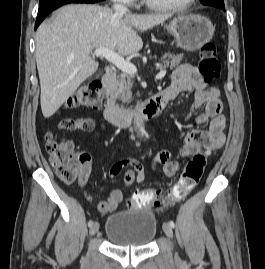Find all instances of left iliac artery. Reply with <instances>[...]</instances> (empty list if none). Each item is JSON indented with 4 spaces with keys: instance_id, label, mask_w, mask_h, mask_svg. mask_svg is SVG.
<instances>
[{
    "instance_id": "obj_1",
    "label": "left iliac artery",
    "mask_w": 265,
    "mask_h": 269,
    "mask_svg": "<svg viewBox=\"0 0 265 269\" xmlns=\"http://www.w3.org/2000/svg\"><path fill=\"white\" fill-rule=\"evenodd\" d=\"M169 225L174 228L175 227V223L173 221H169Z\"/></svg>"
}]
</instances>
